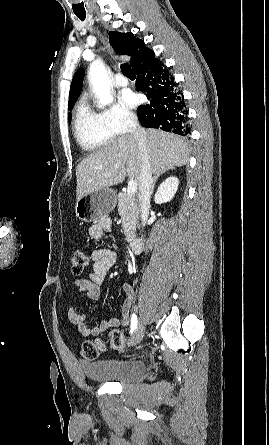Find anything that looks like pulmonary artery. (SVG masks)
I'll return each instance as SVG.
<instances>
[{"mask_svg":"<svg viewBox=\"0 0 269 445\" xmlns=\"http://www.w3.org/2000/svg\"><path fill=\"white\" fill-rule=\"evenodd\" d=\"M114 82H115V84H116L117 86H119V87H125V86H127L128 83H129L128 79L125 78V77H124L123 75H121V74H118V75L115 77Z\"/></svg>","mask_w":269,"mask_h":445,"instance_id":"pulmonary-artery-1","label":"pulmonary artery"}]
</instances>
